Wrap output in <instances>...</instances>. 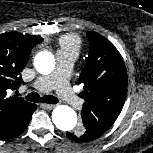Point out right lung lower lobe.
<instances>
[{
  "instance_id": "obj_1",
  "label": "right lung lower lobe",
  "mask_w": 153,
  "mask_h": 153,
  "mask_svg": "<svg viewBox=\"0 0 153 153\" xmlns=\"http://www.w3.org/2000/svg\"><path fill=\"white\" fill-rule=\"evenodd\" d=\"M36 109H37L36 104H32L30 109L21 117H18L7 131L0 134V139L3 140L12 139L22 134L26 130L31 120L32 114Z\"/></svg>"
}]
</instances>
